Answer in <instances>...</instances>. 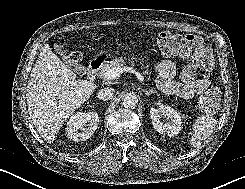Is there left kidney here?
<instances>
[{
    "label": "left kidney",
    "instance_id": "left-kidney-1",
    "mask_svg": "<svg viewBox=\"0 0 245 189\" xmlns=\"http://www.w3.org/2000/svg\"><path fill=\"white\" fill-rule=\"evenodd\" d=\"M150 115L154 129L160 134L172 137L177 135L182 128L181 114L169 106L158 104L157 108L150 109ZM166 118V123L161 122V118Z\"/></svg>",
    "mask_w": 245,
    "mask_h": 189
}]
</instances>
